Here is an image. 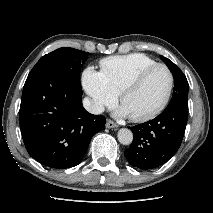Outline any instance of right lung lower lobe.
I'll return each instance as SVG.
<instances>
[{"label": "right lung lower lobe", "instance_id": "right-lung-lower-lobe-1", "mask_svg": "<svg viewBox=\"0 0 213 213\" xmlns=\"http://www.w3.org/2000/svg\"><path fill=\"white\" fill-rule=\"evenodd\" d=\"M82 90L55 73L28 76L20 105V129L29 155L44 166L78 165L106 119L82 106Z\"/></svg>", "mask_w": 213, "mask_h": 213}]
</instances>
